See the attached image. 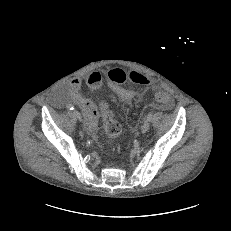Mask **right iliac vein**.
<instances>
[{"instance_id": "63e3f726", "label": "right iliac vein", "mask_w": 231, "mask_h": 231, "mask_svg": "<svg viewBox=\"0 0 231 231\" xmlns=\"http://www.w3.org/2000/svg\"><path fill=\"white\" fill-rule=\"evenodd\" d=\"M74 115L76 116V118L79 120V121H82L83 120V116H82V114L79 112V111H77V110H74Z\"/></svg>"}]
</instances>
